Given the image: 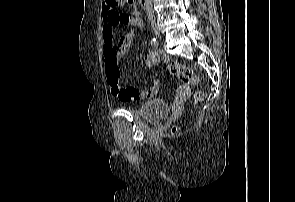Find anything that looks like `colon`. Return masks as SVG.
<instances>
[{
	"mask_svg": "<svg viewBox=\"0 0 295 202\" xmlns=\"http://www.w3.org/2000/svg\"><path fill=\"white\" fill-rule=\"evenodd\" d=\"M105 2L108 6V11L119 15L117 7L119 5L131 4L133 0H105ZM129 21H130V18L128 15H124V14L120 15L121 25H127ZM167 70L171 74L176 75L186 85L195 86V85H198L199 83V77L197 73L190 67H187L177 62H169L167 64ZM195 98L196 100H200L202 98V93L197 92L195 95Z\"/></svg>",
	"mask_w": 295,
	"mask_h": 202,
	"instance_id": "5ec220e1",
	"label": "colon"
}]
</instances>
